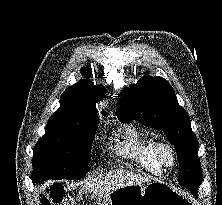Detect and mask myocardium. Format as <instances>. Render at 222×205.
<instances>
[{
	"label": "myocardium",
	"instance_id": "obj_1",
	"mask_svg": "<svg viewBox=\"0 0 222 205\" xmlns=\"http://www.w3.org/2000/svg\"><path fill=\"white\" fill-rule=\"evenodd\" d=\"M156 159L163 167H172L176 162V150L173 145L164 141L155 142Z\"/></svg>",
	"mask_w": 222,
	"mask_h": 205
}]
</instances>
